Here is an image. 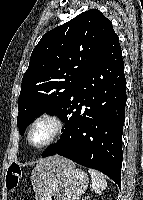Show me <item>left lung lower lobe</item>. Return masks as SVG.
Masks as SVG:
<instances>
[{
	"label": "left lung lower lobe",
	"instance_id": "obj_1",
	"mask_svg": "<svg viewBox=\"0 0 143 200\" xmlns=\"http://www.w3.org/2000/svg\"><path fill=\"white\" fill-rule=\"evenodd\" d=\"M126 79L118 36L87 68L71 95L69 123L43 157L59 154L101 171L119 186Z\"/></svg>",
	"mask_w": 143,
	"mask_h": 200
}]
</instances>
